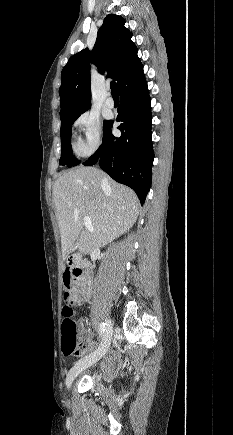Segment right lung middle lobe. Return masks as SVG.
Here are the masks:
<instances>
[{
  "label": "right lung middle lobe",
  "instance_id": "right-lung-middle-lobe-1",
  "mask_svg": "<svg viewBox=\"0 0 233 435\" xmlns=\"http://www.w3.org/2000/svg\"><path fill=\"white\" fill-rule=\"evenodd\" d=\"M72 115L61 118V157L59 161V165H67L68 167L75 166L79 163V161L72 155L71 148V128L74 121L80 116ZM109 121L104 122V128L108 124Z\"/></svg>",
  "mask_w": 233,
  "mask_h": 435
}]
</instances>
